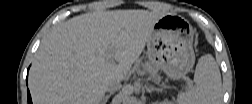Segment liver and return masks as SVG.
<instances>
[{
    "label": "liver",
    "instance_id": "1",
    "mask_svg": "<svg viewBox=\"0 0 252 104\" xmlns=\"http://www.w3.org/2000/svg\"><path fill=\"white\" fill-rule=\"evenodd\" d=\"M163 16L147 10L95 11L61 23L32 63L28 85L33 102L100 104L107 83L130 73Z\"/></svg>",
    "mask_w": 252,
    "mask_h": 104
}]
</instances>
